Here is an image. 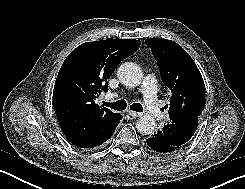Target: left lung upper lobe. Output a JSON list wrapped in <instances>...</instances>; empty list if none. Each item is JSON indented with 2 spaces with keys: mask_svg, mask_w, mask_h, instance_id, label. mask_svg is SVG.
I'll use <instances>...</instances> for the list:
<instances>
[{
  "mask_svg": "<svg viewBox=\"0 0 245 189\" xmlns=\"http://www.w3.org/2000/svg\"><path fill=\"white\" fill-rule=\"evenodd\" d=\"M161 78L172 96L168 107L170 117L162 132L178 145H185L198 127V118L205 105L203 78L191 56L177 43L167 39H147Z\"/></svg>",
  "mask_w": 245,
  "mask_h": 189,
  "instance_id": "left-lung-upper-lobe-1",
  "label": "left lung upper lobe"
}]
</instances>
